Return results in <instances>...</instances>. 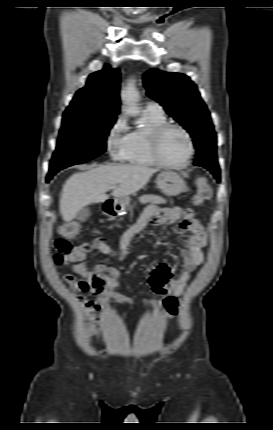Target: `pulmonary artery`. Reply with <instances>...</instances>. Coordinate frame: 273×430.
<instances>
[{"mask_svg": "<svg viewBox=\"0 0 273 430\" xmlns=\"http://www.w3.org/2000/svg\"><path fill=\"white\" fill-rule=\"evenodd\" d=\"M146 110L157 112V113H163L162 106L156 102L149 103L146 107Z\"/></svg>", "mask_w": 273, "mask_h": 430, "instance_id": "pulmonary-artery-1", "label": "pulmonary artery"}]
</instances>
